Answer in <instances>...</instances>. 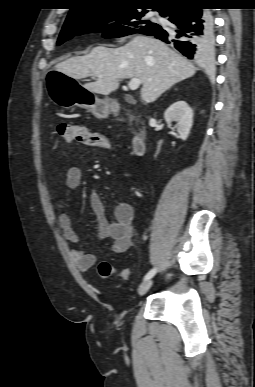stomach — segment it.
<instances>
[{
    "instance_id": "stomach-1",
    "label": "stomach",
    "mask_w": 255,
    "mask_h": 387,
    "mask_svg": "<svg viewBox=\"0 0 255 387\" xmlns=\"http://www.w3.org/2000/svg\"><path fill=\"white\" fill-rule=\"evenodd\" d=\"M44 76L48 84L49 98L63 108L74 105L89 110L97 118H106L111 109L109 99H99L95 93L79 85L72 77L62 70H45Z\"/></svg>"
}]
</instances>
